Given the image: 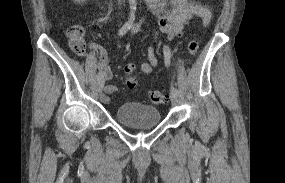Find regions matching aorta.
Here are the masks:
<instances>
[{
    "mask_svg": "<svg viewBox=\"0 0 285 183\" xmlns=\"http://www.w3.org/2000/svg\"><path fill=\"white\" fill-rule=\"evenodd\" d=\"M129 4L131 8H136L137 0H129Z\"/></svg>",
    "mask_w": 285,
    "mask_h": 183,
    "instance_id": "1",
    "label": "aorta"
}]
</instances>
